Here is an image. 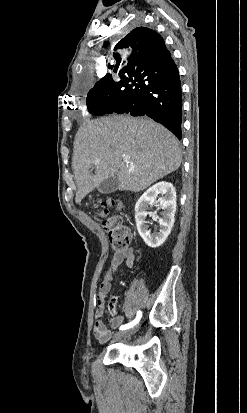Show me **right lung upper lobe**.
<instances>
[{"label": "right lung upper lobe", "mask_w": 247, "mask_h": 413, "mask_svg": "<svg viewBox=\"0 0 247 413\" xmlns=\"http://www.w3.org/2000/svg\"><path fill=\"white\" fill-rule=\"evenodd\" d=\"M115 65L110 68L121 78L130 75L156 72L170 60L171 54L163 38L147 27H137L114 47ZM102 81H112V75L106 74Z\"/></svg>", "instance_id": "1"}]
</instances>
